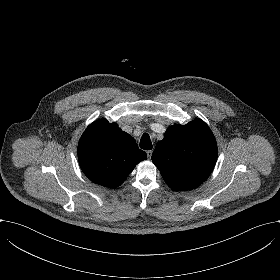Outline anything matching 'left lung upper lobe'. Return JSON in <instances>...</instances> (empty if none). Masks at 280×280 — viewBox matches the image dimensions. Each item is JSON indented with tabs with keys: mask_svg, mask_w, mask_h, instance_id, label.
I'll return each mask as SVG.
<instances>
[{
	"mask_svg": "<svg viewBox=\"0 0 280 280\" xmlns=\"http://www.w3.org/2000/svg\"><path fill=\"white\" fill-rule=\"evenodd\" d=\"M151 159L171 189L191 190L212 172L217 159L216 140L200 119L173 125L157 143Z\"/></svg>",
	"mask_w": 280,
	"mask_h": 280,
	"instance_id": "left-lung-upper-lobe-1",
	"label": "left lung upper lobe"
}]
</instances>
